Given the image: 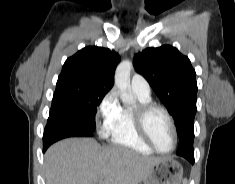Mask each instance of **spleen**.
<instances>
[{"mask_svg":"<svg viewBox=\"0 0 235 184\" xmlns=\"http://www.w3.org/2000/svg\"><path fill=\"white\" fill-rule=\"evenodd\" d=\"M184 184H187V180H184Z\"/></svg>","mask_w":235,"mask_h":184,"instance_id":"1","label":"spleen"}]
</instances>
